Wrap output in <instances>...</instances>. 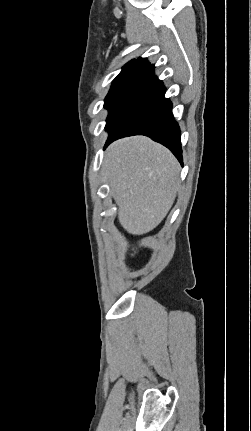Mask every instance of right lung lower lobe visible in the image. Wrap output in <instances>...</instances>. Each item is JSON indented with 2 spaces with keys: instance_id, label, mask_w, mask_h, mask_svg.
Returning a JSON list of instances; mask_svg holds the SVG:
<instances>
[{
  "instance_id": "98d812e1",
  "label": "right lung lower lobe",
  "mask_w": 251,
  "mask_h": 431,
  "mask_svg": "<svg viewBox=\"0 0 251 431\" xmlns=\"http://www.w3.org/2000/svg\"><path fill=\"white\" fill-rule=\"evenodd\" d=\"M164 95L165 87L150 65L108 127L105 147L122 137L145 135L166 146L182 164L181 132Z\"/></svg>"
}]
</instances>
